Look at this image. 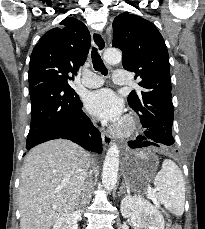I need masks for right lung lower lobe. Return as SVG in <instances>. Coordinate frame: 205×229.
<instances>
[{"instance_id":"98d812e1","label":"right lung lower lobe","mask_w":205,"mask_h":229,"mask_svg":"<svg viewBox=\"0 0 205 229\" xmlns=\"http://www.w3.org/2000/svg\"><path fill=\"white\" fill-rule=\"evenodd\" d=\"M29 94L32 108L26 150L63 138L89 151H102L100 132L82 111V102L71 86L49 81L30 88Z\"/></svg>"}]
</instances>
